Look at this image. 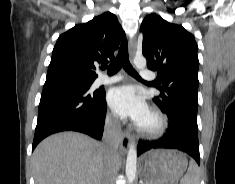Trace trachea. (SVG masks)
Wrapping results in <instances>:
<instances>
[{
  "instance_id": "1",
  "label": "trachea",
  "mask_w": 235,
  "mask_h": 184,
  "mask_svg": "<svg viewBox=\"0 0 235 184\" xmlns=\"http://www.w3.org/2000/svg\"><path fill=\"white\" fill-rule=\"evenodd\" d=\"M107 66H104V69H106ZM121 67H123L126 72H128L129 75H132V77H135L136 79H141L139 74L134 70L132 65L129 62V57H128V48H127V41L124 40L120 46L119 53L113 62L108 66V74L113 75L118 72Z\"/></svg>"
}]
</instances>
